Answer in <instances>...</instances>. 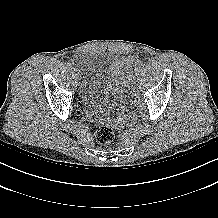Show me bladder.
<instances>
[{
    "label": "bladder",
    "instance_id": "bladder-1",
    "mask_svg": "<svg viewBox=\"0 0 218 218\" xmlns=\"http://www.w3.org/2000/svg\"><path fill=\"white\" fill-rule=\"evenodd\" d=\"M79 72V98L87 110L110 111L120 98L125 80L133 71V62L127 57H102L90 52L76 55Z\"/></svg>",
    "mask_w": 218,
    "mask_h": 218
}]
</instances>
